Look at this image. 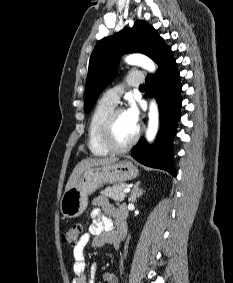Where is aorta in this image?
I'll return each mask as SVG.
<instances>
[{"label":"aorta","instance_id":"762f6f07","mask_svg":"<svg viewBox=\"0 0 233 283\" xmlns=\"http://www.w3.org/2000/svg\"><path fill=\"white\" fill-rule=\"evenodd\" d=\"M127 64L140 66L150 73L156 71L155 63L147 56L142 54H131L125 58ZM159 128V110L155 100H152L149 106L148 113V128L146 131V139L148 142H153Z\"/></svg>","mask_w":233,"mask_h":283}]
</instances>
